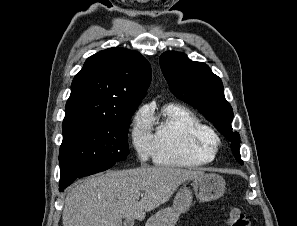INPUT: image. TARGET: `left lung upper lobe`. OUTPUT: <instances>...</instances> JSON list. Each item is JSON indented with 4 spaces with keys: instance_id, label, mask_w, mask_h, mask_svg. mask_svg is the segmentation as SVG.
<instances>
[{
    "instance_id": "left-lung-upper-lobe-1",
    "label": "left lung upper lobe",
    "mask_w": 297,
    "mask_h": 226,
    "mask_svg": "<svg viewBox=\"0 0 297 226\" xmlns=\"http://www.w3.org/2000/svg\"><path fill=\"white\" fill-rule=\"evenodd\" d=\"M160 67L173 94L192 105L231 143L236 160L240 158V136L231 127L233 111L226 101L221 79L203 62H194L184 53L166 52L160 57Z\"/></svg>"
}]
</instances>
